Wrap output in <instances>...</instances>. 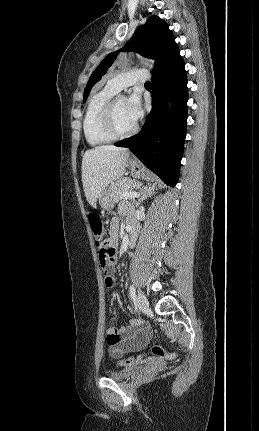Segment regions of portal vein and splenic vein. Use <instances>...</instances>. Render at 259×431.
<instances>
[{
  "instance_id": "1",
  "label": "portal vein and splenic vein",
  "mask_w": 259,
  "mask_h": 431,
  "mask_svg": "<svg viewBox=\"0 0 259 431\" xmlns=\"http://www.w3.org/2000/svg\"><path fill=\"white\" fill-rule=\"evenodd\" d=\"M122 198H135L139 196V193L136 191H125L121 194Z\"/></svg>"
}]
</instances>
